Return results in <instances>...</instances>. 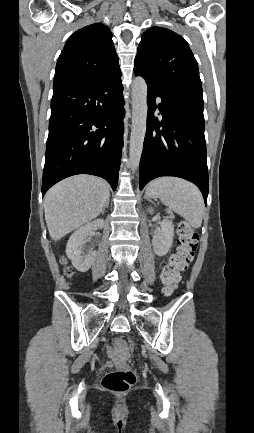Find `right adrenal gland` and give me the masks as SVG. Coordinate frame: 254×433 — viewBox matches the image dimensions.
<instances>
[{"instance_id":"1","label":"right adrenal gland","mask_w":254,"mask_h":433,"mask_svg":"<svg viewBox=\"0 0 254 433\" xmlns=\"http://www.w3.org/2000/svg\"><path fill=\"white\" fill-rule=\"evenodd\" d=\"M109 201H110V196L107 198V201H106V204L104 205V207H103V209H102V213H104L105 212V208H108L109 207Z\"/></svg>"}]
</instances>
